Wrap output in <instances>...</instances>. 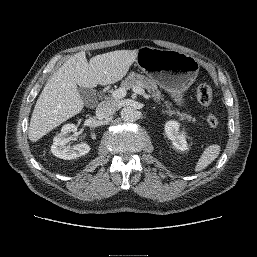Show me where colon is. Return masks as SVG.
I'll return each mask as SVG.
<instances>
[{
	"label": "colon",
	"instance_id": "5ec220e1",
	"mask_svg": "<svg viewBox=\"0 0 257 257\" xmlns=\"http://www.w3.org/2000/svg\"><path fill=\"white\" fill-rule=\"evenodd\" d=\"M196 94L197 99L201 105L209 106L211 104L213 98V91L209 84L201 83L197 87ZM206 120L210 127L214 128L218 126L219 120L216 115L208 114Z\"/></svg>",
	"mask_w": 257,
	"mask_h": 257
}]
</instances>
